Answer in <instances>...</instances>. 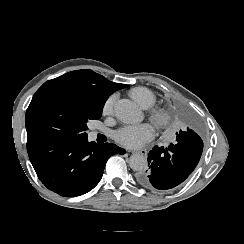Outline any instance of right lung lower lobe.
Wrapping results in <instances>:
<instances>
[{
	"instance_id": "obj_1",
	"label": "right lung lower lobe",
	"mask_w": 244,
	"mask_h": 244,
	"mask_svg": "<svg viewBox=\"0 0 244 244\" xmlns=\"http://www.w3.org/2000/svg\"><path fill=\"white\" fill-rule=\"evenodd\" d=\"M27 151L42 183L65 197L79 196L93 189L109 157L126 152L112 143L88 142L87 137L42 133L27 135Z\"/></svg>"
}]
</instances>
